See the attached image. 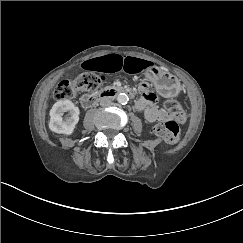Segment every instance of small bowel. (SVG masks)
<instances>
[{
	"label": "small bowel",
	"mask_w": 243,
	"mask_h": 243,
	"mask_svg": "<svg viewBox=\"0 0 243 243\" xmlns=\"http://www.w3.org/2000/svg\"><path fill=\"white\" fill-rule=\"evenodd\" d=\"M83 69L87 71L140 73L150 68V64L141 58L109 54L87 60L82 63ZM139 89L142 98L137 102L136 107L144 113L147 121H164L168 118L167 113L158 106L157 97L147 83H141Z\"/></svg>",
	"instance_id": "obj_1"
}]
</instances>
